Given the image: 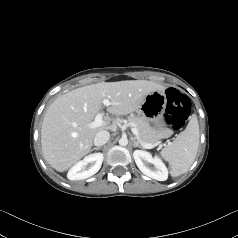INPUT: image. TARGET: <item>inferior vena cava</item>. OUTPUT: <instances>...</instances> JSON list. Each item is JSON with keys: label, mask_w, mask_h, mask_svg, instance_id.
Returning a JSON list of instances; mask_svg holds the SVG:
<instances>
[{"label": "inferior vena cava", "mask_w": 238, "mask_h": 238, "mask_svg": "<svg viewBox=\"0 0 238 238\" xmlns=\"http://www.w3.org/2000/svg\"><path fill=\"white\" fill-rule=\"evenodd\" d=\"M110 139V133L106 130L99 131L94 137V145L102 146Z\"/></svg>", "instance_id": "602c4592"}]
</instances>
